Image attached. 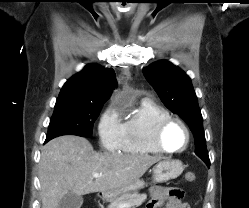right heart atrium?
<instances>
[{
  "label": "right heart atrium",
  "instance_id": "1",
  "mask_svg": "<svg viewBox=\"0 0 249 208\" xmlns=\"http://www.w3.org/2000/svg\"><path fill=\"white\" fill-rule=\"evenodd\" d=\"M122 125L119 109L109 106L101 115L98 123V134L102 146L108 151H117L122 143Z\"/></svg>",
  "mask_w": 249,
  "mask_h": 208
}]
</instances>
